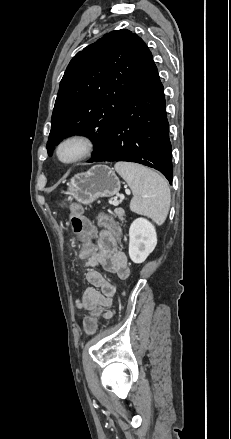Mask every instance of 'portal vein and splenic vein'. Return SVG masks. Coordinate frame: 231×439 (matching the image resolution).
Returning a JSON list of instances; mask_svg holds the SVG:
<instances>
[{"label":"portal vein and splenic vein","mask_w":231,"mask_h":439,"mask_svg":"<svg viewBox=\"0 0 231 439\" xmlns=\"http://www.w3.org/2000/svg\"><path fill=\"white\" fill-rule=\"evenodd\" d=\"M127 193L130 194V191H128ZM120 198H124V195H120ZM113 205L117 206L118 203L117 202H113Z\"/></svg>","instance_id":"obj_1"}]
</instances>
